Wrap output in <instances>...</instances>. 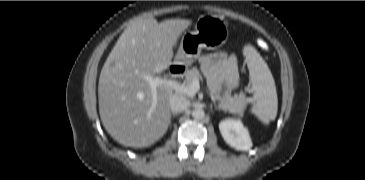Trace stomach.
<instances>
[{
    "instance_id": "obj_1",
    "label": "stomach",
    "mask_w": 365,
    "mask_h": 180,
    "mask_svg": "<svg viewBox=\"0 0 365 180\" xmlns=\"http://www.w3.org/2000/svg\"><path fill=\"white\" fill-rule=\"evenodd\" d=\"M229 36L225 21L215 16H202L193 31L182 36L174 64L188 66L200 55L203 48L218 49L226 44Z\"/></svg>"
}]
</instances>
